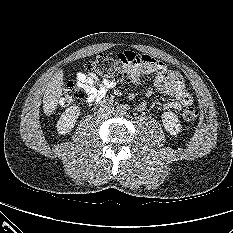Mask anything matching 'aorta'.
Here are the masks:
<instances>
[{
	"label": "aorta",
	"mask_w": 233,
	"mask_h": 233,
	"mask_svg": "<svg viewBox=\"0 0 233 233\" xmlns=\"http://www.w3.org/2000/svg\"><path fill=\"white\" fill-rule=\"evenodd\" d=\"M116 113H117L118 115L123 116V115L126 113V108H125V106H124V105H119V106H117V108H116Z\"/></svg>",
	"instance_id": "aorta-1"
}]
</instances>
